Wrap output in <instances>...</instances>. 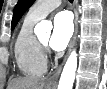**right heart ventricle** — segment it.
<instances>
[{
  "label": "right heart ventricle",
  "mask_w": 107,
  "mask_h": 89,
  "mask_svg": "<svg viewBox=\"0 0 107 89\" xmlns=\"http://www.w3.org/2000/svg\"><path fill=\"white\" fill-rule=\"evenodd\" d=\"M39 19L27 14L14 43V58L19 71L29 77H40L46 72V60L34 34Z\"/></svg>",
  "instance_id": "e07e8e85"
}]
</instances>
